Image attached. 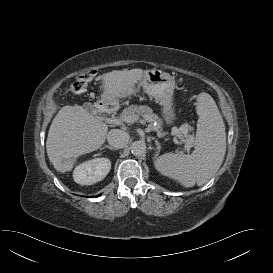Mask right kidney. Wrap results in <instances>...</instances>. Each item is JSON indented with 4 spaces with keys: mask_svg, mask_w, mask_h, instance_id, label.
Returning <instances> with one entry per match:
<instances>
[{
    "mask_svg": "<svg viewBox=\"0 0 273 273\" xmlns=\"http://www.w3.org/2000/svg\"><path fill=\"white\" fill-rule=\"evenodd\" d=\"M110 169L111 162L108 158H95L76 166L73 178L80 185H92L104 179Z\"/></svg>",
    "mask_w": 273,
    "mask_h": 273,
    "instance_id": "1",
    "label": "right kidney"
}]
</instances>
